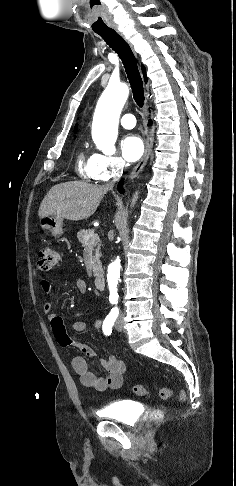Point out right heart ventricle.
I'll return each mask as SVG.
<instances>
[{"mask_svg":"<svg viewBox=\"0 0 236 486\" xmlns=\"http://www.w3.org/2000/svg\"><path fill=\"white\" fill-rule=\"evenodd\" d=\"M92 157L93 155L87 156L83 150H80L77 154L76 170L85 179H93L91 172Z\"/></svg>","mask_w":236,"mask_h":486,"instance_id":"1","label":"right heart ventricle"}]
</instances>
